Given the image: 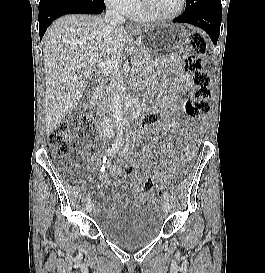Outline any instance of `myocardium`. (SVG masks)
<instances>
[{
  "mask_svg": "<svg viewBox=\"0 0 265 273\" xmlns=\"http://www.w3.org/2000/svg\"><path fill=\"white\" fill-rule=\"evenodd\" d=\"M139 5H140V8H141L142 12L144 13L145 17L149 21L167 22V21H171V20L176 19L184 12L185 7H186V0H181L178 10L176 12H174L173 14H170L167 16H160V15L153 14L149 10L146 0H139Z\"/></svg>",
  "mask_w": 265,
  "mask_h": 273,
  "instance_id": "myocardium-1",
  "label": "myocardium"
}]
</instances>
